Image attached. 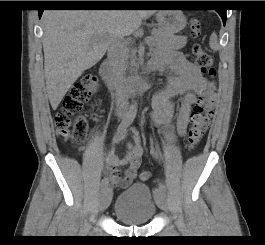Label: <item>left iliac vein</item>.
I'll return each instance as SVG.
<instances>
[{
  "mask_svg": "<svg viewBox=\"0 0 265 245\" xmlns=\"http://www.w3.org/2000/svg\"><path fill=\"white\" fill-rule=\"evenodd\" d=\"M156 202L159 208L166 211L168 210V201L165 192H159L156 196Z\"/></svg>",
  "mask_w": 265,
  "mask_h": 245,
  "instance_id": "left-iliac-vein-1",
  "label": "left iliac vein"
}]
</instances>
